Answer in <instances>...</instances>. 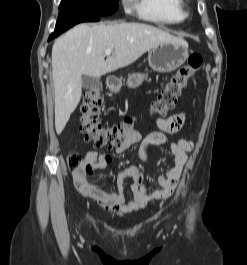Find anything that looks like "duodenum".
I'll return each instance as SVG.
<instances>
[{
    "mask_svg": "<svg viewBox=\"0 0 247 265\" xmlns=\"http://www.w3.org/2000/svg\"><path fill=\"white\" fill-rule=\"evenodd\" d=\"M117 83H118V81H117L116 77H114V76H109V77L107 78V86H108L109 88H113V87H115V86L117 85Z\"/></svg>",
    "mask_w": 247,
    "mask_h": 265,
    "instance_id": "410a0bca",
    "label": "duodenum"
}]
</instances>
